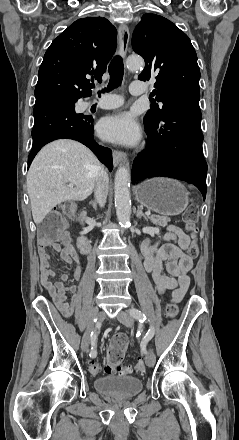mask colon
Returning a JSON list of instances; mask_svg holds the SVG:
<instances>
[{
  "label": "colon",
  "mask_w": 239,
  "mask_h": 440,
  "mask_svg": "<svg viewBox=\"0 0 239 440\" xmlns=\"http://www.w3.org/2000/svg\"><path fill=\"white\" fill-rule=\"evenodd\" d=\"M75 211V206L73 204H61L54 208L55 214L48 216L40 228L39 234V246L47 247L52 244L55 239H57L63 229V222L59 218V213L64 214H72ZM198 206L195 204L189 205L183 215V219L185 222V228L187 233L194 237L196 234V222L198 220ZM188 254L195 258L198 255V246L193 241L189 248ZM165 314L171 318H174L177 314V307L173 303H168L165 309ZM128 346V338L125 334L119 333L112 337L110 340L107 354H106V363L102 368L98 362L90 361L88 364V369L92 374H99L102 371L107 374L112 373H122L129 374L131 372V368L127 366H122V361L127 350ZM145 363L142 360H139L135 365V370L137 373L142 374L145 372Z\"/></svg>",
  "instance_id": "obj_1"
}]
</instances>
